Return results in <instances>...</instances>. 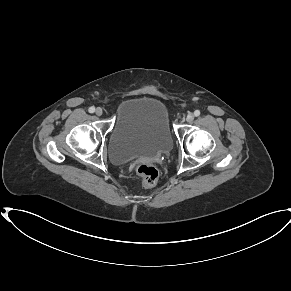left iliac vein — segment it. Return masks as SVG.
Returning <instances> with one entry per match:
<instances>
[{
  "label": "left iliac vein",
  "instance_id": "4c4485c4",
  "mask_svg": "<svg viewBox=\"0 0 291 291\" xmlns=\"http://www.w3.org/2000/svg\"><path fill=\"white\" fill-rule=\"evenodd\" d=\"M187 122H191L194 120V114L193 113H189L186 117Z\"/></svg>",
  "mask_w": 291,
  "mask_h": 291
}]
</instances>
